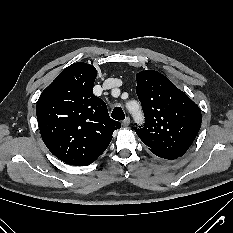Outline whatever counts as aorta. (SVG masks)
I'll return each mask as SVG.
<instances>
[{
	"label": "aorta",
	"mask_w": 233,
	"mask_h": 233,
	"mask_svg": "<svg viewBox=\"0 0 233 233\" xmlns=\"http://www.w3.org/2000/svg\"><path fill=\"white\" fill-rule=\"evenodd\" d=\"M132 104H136V103H135V102H132L131 104H129V106H128V107H129V110H131V105H132ZM133 114H135L136 119H139L140 114H138V113H137V114H136V113H133Z\"/></svg>",
	"instance_id": "obj_1"
}]
</instances>
